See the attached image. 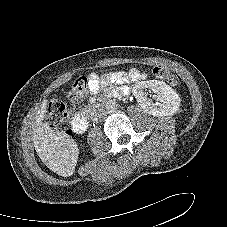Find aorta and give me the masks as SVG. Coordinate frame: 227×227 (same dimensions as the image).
Segmentation results:
<instances>
[{
	"label": "aorta",
	"instance_id": "1",
	"mask_svg": "<svg viewBox=\"0 0 227 227\" xmlns=\"http://www.w3.org/2000/svg\"><path fill=\"white\" fill-rule=\"evenodd\" d=\"M117 106H118V104L115 99H109L105 103L106 110L111 111V112L115 111L117 109Z\"/></svg>",
	"mask_w": 227,
	"mask_h": 227
}]
</instances>
